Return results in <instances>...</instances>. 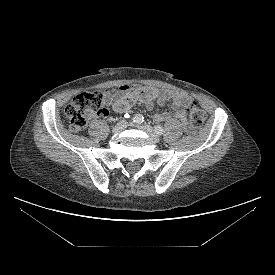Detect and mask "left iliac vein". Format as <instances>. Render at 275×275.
<instances>
[{
    "instance_id": "1",
    "label": "left iliac vein",
    "mask_w": 275,
    "mask_h": 275,
    "mask_svg": "<svg viewBox=\"0 0 275 275\" xmlns=\"http://www.w3.org/2000/svg\"><path fill=\"white\" fill-rule=\"evenodd\" d=\"M140 130L144 131L145 133H147L154 141H159V135L155 132V130L149 126V125H140L137 126Z\"/></svg>"
}]
</instances>
